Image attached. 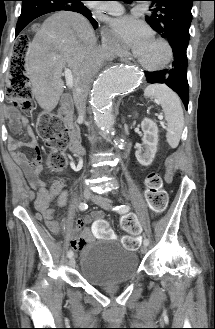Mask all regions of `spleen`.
<instances>
[{
  "label": "spleen",
  "mask_w": 215,
  "mask_h": 329,
  "mask_svg": "<svg viewBox=\"0 0 215 329\" xmlns=\"http://www.w3.org/2000/svg\"><path fill=\"white\" fill-rule=\"evenodd\" d=\"M144 95L161 105L167 121V142L172 148H176L184 128L183 109L178 95L163 84L149 85L144 90Z\"/></svg>",
  "instance_id": "3e777b00"
}]
</instances>
